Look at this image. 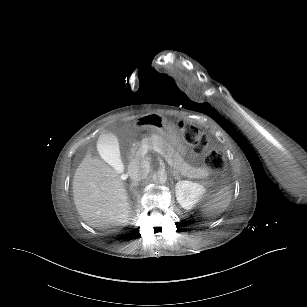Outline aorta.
Instances as JSON below:
<instances>
[{
	"label": "aorta",
	"instance_id": "aorta-1",
	"mask_svg": "<svg viewBox=\"0 0 307 307\" xmlns=\"http://www.w3.org/2000/svg\"><path fill=\"white\" fill-rule=\"evenodd\" d=\"M153 181L156 184H165L167 182V174L164 170H159L155 175H153Z\"/></svg>",
	"mask_w": 307,
	"mask_h": 307
}]
</instances>
